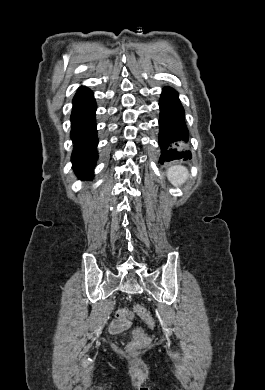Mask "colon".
<instances>
[{
  "label": "colon",
  "instance_id": "colon-1",
  "mask_svg": "<svg viewBox=\"0 0 265 390\" xmlns=\"http://www.w3.org/2000/svg\"><path fill=\"white\" fill-rule=\"evenodd\" d=\"M135 312L142 318V320L149 326V327H154L155 323L150 315V313L147 311L146 308L143 306L137 305L135 307ZM116 316L118 319L121 320H126L129 321L133 318V313L129 311L128 309H119L116 312ZM133 338L134 340L128 344L127 349L129 351H135L139 347L143 346L148 342V337L146 334L143 332L142 329H135L133 331Z\"/></svg>",
  "mask_w": 265,
  "mask_h": 390
}]
</instances>
